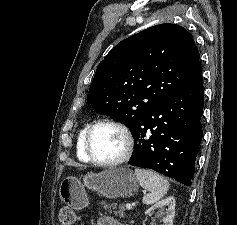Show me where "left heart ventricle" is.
I'll use <instances>...</instances> for the list:
<instances>
[{"label":"left heart ventricle","mask_w":237,"mask_h":225,"mask_svg":"<svg viewBox=\"0 0 237 225\" xmlns=\"http://www.w3.org/2000/svg\"><path fill=\"white\" fill-rule=\"evenodd\" d=\"M125 140L119 130L112 126L98 127L91 138V149L100 160L118 158L124 151Z\"/></svg>","instance_id":"left-heart-ventricle-1"}]
</instances>
